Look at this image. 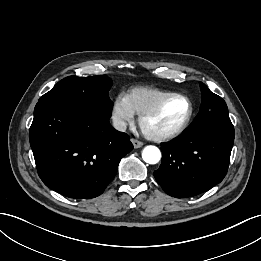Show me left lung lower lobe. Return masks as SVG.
Returning <instances> with one entry per match:
<instances>
[{"mask_svg": "<svg viewBox=\"0 0 261 261\" xmlns=\"http://www.w3.org/2000/svg\"><path fill=\"white\" fill-rule=\"evenodd\" d=\"M233 142L232 124L185 130L161 145L163 157L155 179L176 198L205 192L225 177Z\"/></svg>", "mask_w": 261, "mask_h": 261, "instance_id": "left-lung-lower-lobe-1", "label": "left lung lower lobe"}]
</instances>
